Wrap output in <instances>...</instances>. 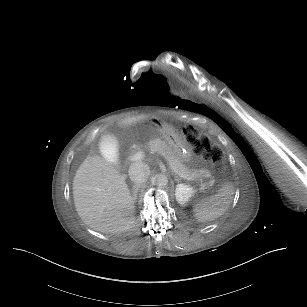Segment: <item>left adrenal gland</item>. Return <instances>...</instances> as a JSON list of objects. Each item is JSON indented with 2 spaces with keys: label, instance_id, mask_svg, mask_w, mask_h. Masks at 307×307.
I'll return each mask as SVG.
<instances>
[{
  "label": "left adrenal gland",
  "instance_id": "left-adrenal-gland-1",
  "mask_svg": "<svg viewBox=\"0 0 307 307\" xmlns=\"http://www.w3.org/2000/svg\"><path fill=\"white\" fill-rule=\"evenodd\" d=\"M175 182H179V177L177 175H174Z\"/></svg>",
  "mask_w": 307,
  "mask_h": 307
}]
</instances>
